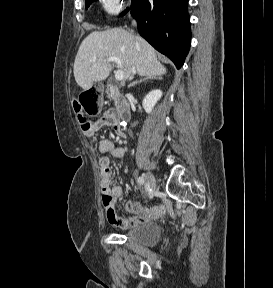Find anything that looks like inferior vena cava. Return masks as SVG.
I'll use <instances>...</instances> for the list:
<instances>
[{"label":"inferior vena cava","mask_w":273,"mask_h":288,"mask_svg":"<svg viewBox=\"0 0 273 288\" xmlns=\"http://www.w3.org/2000/svg\"><path fill=\"white\" fill-rule=\"evenodd\" d=\"M134 73H135V69H133L132 74L129 77V80L133 79Z\"/></svg>","instance_id":"inferior-vena-cava-1"}]
</instances>
